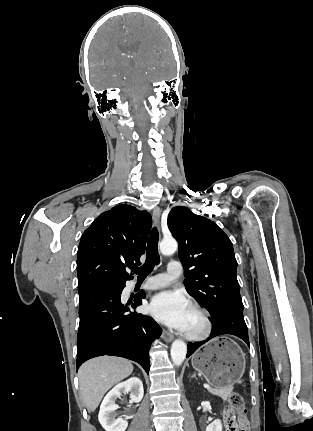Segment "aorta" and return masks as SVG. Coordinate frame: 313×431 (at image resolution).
I'll list each match as a JSON object with an SVG mask.
<instances>
[{
	"label": "aorta",
	"instance_id": "aorta-1",
	"mask_svg": "<svg viewBox=\"0 0 313 431\" xmlns=\"http://www.w3.org/2000/svg\"><path fill=\"white\" fill-rule=\"evenodd\" d=\"M178 244L175 239H164L160 243V251L163 255H172L176 252ZM187 354V346L182 340H175L171 346V359L176 366H180Z\"/></svg>",
	"mask_w": 313,
	"mask_h": 431
}]
</instances>
